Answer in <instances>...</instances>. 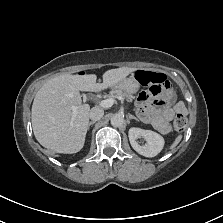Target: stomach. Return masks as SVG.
<instances>
[{"mask_svg":"<svg viewBox=\"0 0 223 223\" xmlns=\"http://www.w3.org/2000/svg\"><path fill=\"white\" fill-rule=\"evenodd\" d=\"M114 86H116V88L126 89V91L129 92H135L139 87V82L138 80H133L131 77H128L121 79Z\"/></svg>","mask_w":223,"mask_h":223,"instance_id":"0dacf381","label":"stomach"}]
</instances>
